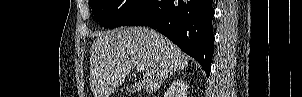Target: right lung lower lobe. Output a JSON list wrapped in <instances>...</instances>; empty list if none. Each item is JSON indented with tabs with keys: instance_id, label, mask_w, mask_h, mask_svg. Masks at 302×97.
Masks as SVG:
<instances>
[{
	"instance_id": "98d812e1",
	"label": "right lung lower lobe",
	"mask_w": 302,
	"mask_h": 97,
	"mask_svg": "<svg viewBox=\"0 0 302 97\" xmlns=\"http://www.w3.org/2000/svg\"><path fill=\"white\" fill-rule=\"evenodd\" d=\"M213 0H146L122 26L157 29L195 58L209 76L214 36Z\"/></svg>"
}]
</instances>
